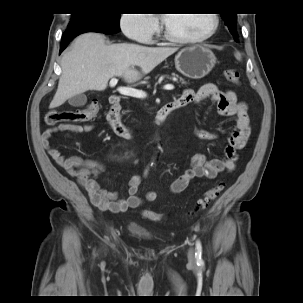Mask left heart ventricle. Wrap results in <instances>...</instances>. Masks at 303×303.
Segmentation results:
<instances>
[{"mask_svg":"<svg viewBox=\"0 0 303 303\" xmlns=\"http://www.w3.org/2000/svg\"><path fill=\"white\" fill-rule=\"evenodd\" d=\"M170 30L183 37H196L206 33L212 26L211 14H166Z\"/></svg>","mask_w":303,"mask_h":303,"instance_id":"b2bd125f","label":"left heart ventricle"}]
</instances>
